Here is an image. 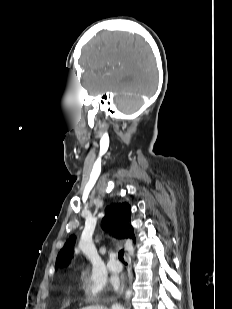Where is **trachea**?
I'll return each instance as SVG.
<instances>
[{"mask_svg": "<svg viewBox=\"0 0 232 309\" xmlns=\"http://www.w3.org/2000/svg\"><path fill=\"white\" fill-rule=\"evenodd\" d=\"M123 256H124V250H120L118 253V258L122 263H125Z\"/></svg>", "mask_w": 232, "mask_h": 309, "instance_id": "1", "label": "trachea"}]
</instances>
